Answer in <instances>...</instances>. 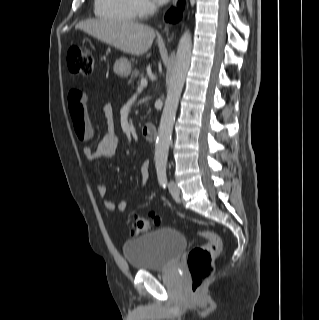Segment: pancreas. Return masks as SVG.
<instances>
[{
    "mask_svg": "<svg viewBox=\"0 0 319 320\" xmlns=\"http://www.w3.org/2000/svg\"><path fill=\"white\" fill-rule=\"evenodd\" d=\"M139 76H140L139 71H138L137 69H135V70L133 71L132 75H131V78H130L129 82H132L133 79H135V78H137V77H139Z\"/></svg>",
    "mask_w": 319,
    "mask_h": 320,
    "instance_id": "cf45deb5",
    "label": "pancreas"
}]
</instances>
